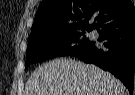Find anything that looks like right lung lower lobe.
I'll return each instance as SVG.
<instances>
[{
  "mask_svg": "<svg viewBox=\"0 0 135 95\" xmlns=\"http://www.w3.org/2000/svg\"><path fill=\"white\" fill-rule=\"evenodd\" d=\"M96 29L100 33L99 42L104 43L101 45L97 41H90L72 56L111 72L132 93L135 71V15L105 22Z\"/></svg>",
  "mask_w": 135,
  "mask_h": 95,
  "instance_id": "obj_1",
  "label": "right lung lower lobe"
}]
</instances>
